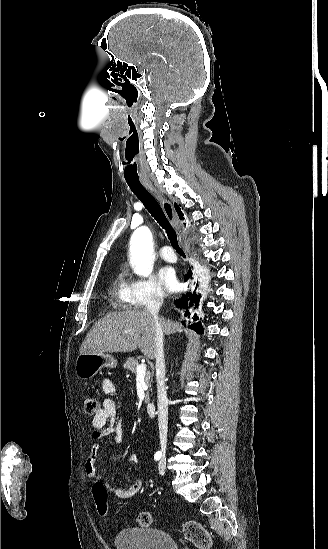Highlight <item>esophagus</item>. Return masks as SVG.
<instances>
[{"instance_id":"1","label":"esophagus","mask_w":328,"mask_h":549,"mask_svg":"<svg viewBox=\"0 0 328 549\" xmlns=\"http://www.w3.org/2000/svg\"><path fill=\"white\" fill-rule=\"evenodd\" d=\"M142 183L146 189L150 190V192L156 197V199L160 202L162 209L164 210V213L169 220V222L175 227L178 228L179 224L177 221L176 214L174 212L173 205L169 200L165 199L160 192H158L150 180H142Z\"/></svg>"}]
</instances>
